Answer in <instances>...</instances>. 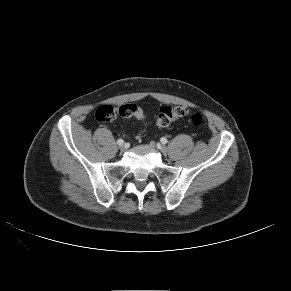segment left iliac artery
Instances as JSON below:
<instances>
[{"label":"left iliac artery","instance_id":"left-iliac-artery-1","mask_svg":"<svg viewBox=\"0 0 291 291\" xmlns=\"http://www.w3.org/2000/svg\"><path fill=\"white\" fill-rule=\"evenodd\" d=\"M160 141H161L162 144H166L167 143V139L165 137H162Z\"/></svg>","mask_w":291,"mask_h":291}]
</instances>
